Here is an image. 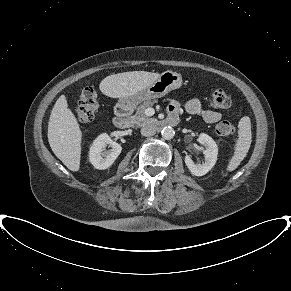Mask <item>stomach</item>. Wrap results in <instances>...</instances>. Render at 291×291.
Listing matches in <instances>:
<instances>
[{
  "instance_id": "stomach-1",
  "label": "stomach",
  "mask_w": 291,
  "mask_h": 291,
  "mask_svg": "<svg viewBox=\"0 0 291 291\" xmlns=\"http://www.w3.org/2000/svg\"><path fill=\"white\" fill-rule=\"evenodd\" d=\"M181 85L182 76L179 73L167 70L148 88L134 95L120 98L118 107L124 110H132L142 101L163 97L170 91L180 88Z\"/></svg>"
}]
</instances>
